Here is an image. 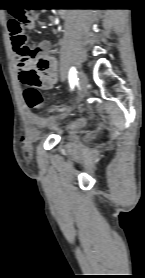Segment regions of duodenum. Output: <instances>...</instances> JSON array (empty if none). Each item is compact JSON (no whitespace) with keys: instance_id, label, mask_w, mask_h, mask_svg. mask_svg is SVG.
I'll return each instance as SVG.
<instances>
[{"instance_id":"410a0bca","label":"duodenum","mask_w":145,"mask_h":278,"mask_svg":"<svg viewBox=\"0 0 145 278\" xmlns=\"http://www.w3.org/2000/svg\"><path fill=\"white\" fill-rule=\"evenodd\" d=\"M61 17H65V14H64V12H61Z\"/></svg>"}]
</instances>
